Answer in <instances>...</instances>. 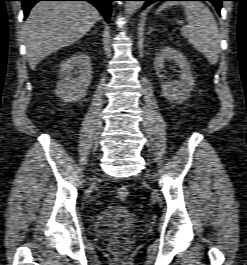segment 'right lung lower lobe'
Instances as JSON below:
<instances>
[{"label":"right lung lower lobe","instance_id":"98d812e1","mask_svg":"<svg viewBox=\"0 0 247 265\" xmlns=\"http://www.w3.org/2000/svg\"><path fill=\"white\" fill-rule=\"evenodd\" d=\"M24 10V17L26 18L30 9L39 1H88L93 4L100 13L104 16L107 22L110 21L111 2L115 0H20Z\"/></svg>","mask_w":247,"mask_h":265}]
</instances>
